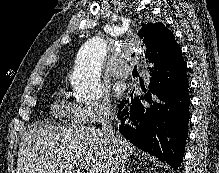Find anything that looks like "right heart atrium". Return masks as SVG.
I'll use <instances>...</instances> for the list:
<instances>
[{"label": "right heart atrium", "mask_w": 219, "mask_h": 173, "mask_svg": "<svg viewBox=\"0 0 219 173\" xmlns=\"http://www.w3.org/2000/svg\"><path fill=\"white\" fill-rule=\"evenodd\" d=\"M112 112V105L106 95H101L93 104L76 106L77 122L85 125L102 122L108 119Z\"/></svg>", "instance_id": "obj_1"}]
</instances>
